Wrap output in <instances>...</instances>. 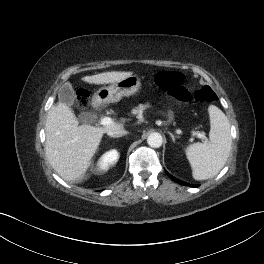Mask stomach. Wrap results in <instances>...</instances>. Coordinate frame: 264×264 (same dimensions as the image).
<instances>
[{
  "instance_id": "stomach-1",
  "label": "stomach",
  "mask_w": 264,
  "mask_h": 264,
  "mask_svg": "<svg viewBox=\"0 0 264 264\" xmlns=\"http://www.w3.org/2000/svg\"><path fill=\"white\" fill-rule=\"evenodd\" d=\"M140 86V79L136 75H130L108 87L100 88L94 94L93 100L97 105L118 102L124 96L136 94Z\"/></svg>"
}]
</instances>
